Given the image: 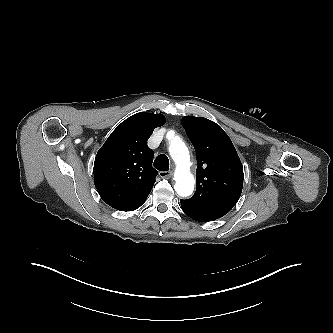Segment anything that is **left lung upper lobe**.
<instances>
[{"mask_svg":"<svg viewBox=\"0 0 333 333\" xmlns=\"http://www.w3.org/2000/svg\"><path fill=\"white\" fill-rule=\"evenodd\" d=\"M182 125L197 159V190L184 201L222 217L233 208L242 192L244 174L239 156L228 135L215 122L185 116Z\"/></svg>","mask_w":333,"mask_h":333,"instance_id":"left-lung-upper-lobe-1","label":"left lung upper lobe"}]
</instances>
